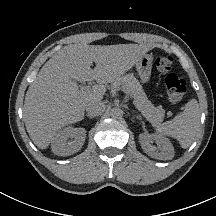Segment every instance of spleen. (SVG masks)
Here are the masks:
<instances>
[{"label": "spleen", "mask_w": 216, "mask_h": 216, "mask_svg": "<svg viewBox=\"0 0 216 216\" xmlns=\"http://www.w3.org/2000/svg\"><path fill=\"white\" fill-rule=\"evenodd\" d=\"M200 125V109L196 99L185 104L184 111L173 120L166 121L157 129L160 134L179 141L182 148H188L194 141Z\"/></svg>", "instance_id": "3e777b00"}]
</instances>
